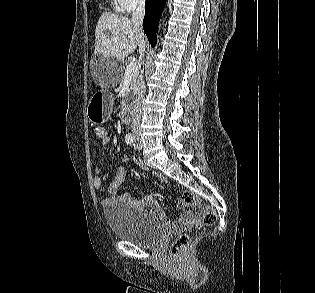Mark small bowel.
Instances as JSON below:
<instances>
[{
  "label": "small bowel",
  "mask_w": 315,
  "mask_h": 293,
  "mask_svg": "<svg viewBox=\"0 0 315 293\" xmlns=\"http://www.w3.org/2000/svg\"><path fill=\"white\" fill-rule=\"evenodd\" d=\"M110 138L106 135L103 139H101V145L104 148H107L110 145ZM133 164L139 168H144V163L141 160V158L135 156L133 158ZM100 167L94 168V177H93V185L96 191H100L102 187V180L100 177ZM128 175L126 167L122 166L118 169L116 172L112 182L110 183L108 187V196L100 201L101 205L104 207H107L115 202H125L130 203L132 205H135L137 207H140L146 211H150L153 213L154 217L161 222L162 224L166 225L167 227L180 231V230H189L190 226L195 222L196 220V212L194 211H185L181 215L179 219H177L175 222H171L168 220L166 215L161 211V209L158 206L157 200L151 196L148 195L144 197L141 200H135L133 199L129 194L125 193L123 195H117V191L123 181L125 180L126 176ZM154 177L158 179L161 182H166V178L160 174V173H153ZM179 208H184L186 205H184L182 202H179L177 205Z\"/></svg>",
  "instance_id": "small-bowel-1"
}]
</instances>
